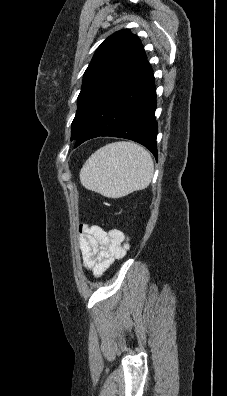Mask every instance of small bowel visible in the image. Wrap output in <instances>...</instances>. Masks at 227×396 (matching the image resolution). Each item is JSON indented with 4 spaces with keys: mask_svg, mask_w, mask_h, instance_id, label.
<instances>
[{
    "mask_svg": "<svg viewBox=\"0 0 227 396\" xmlns=\"http://www.w3.org/2000/svg\"><path fill=\"white\" fill-rule=\"evenodd\" d=\"M79 247L84 267L100 277L115 260L125 256L129 244L120 230L106 231L97 225H81Z\"/></svg>",
    "mask_w": 227,
    "mask_h": 396,
    "instance_id": "c3829d8e",
    "label": "small bowel"
}]
</instances>
